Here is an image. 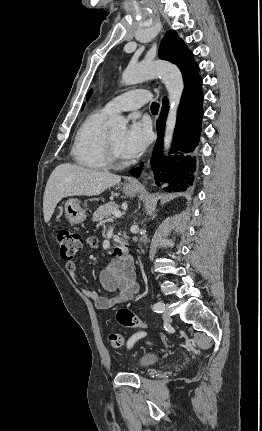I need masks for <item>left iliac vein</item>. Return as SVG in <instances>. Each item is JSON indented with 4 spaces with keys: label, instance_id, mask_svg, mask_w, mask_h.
<instances>
[{
    "label": "left iliac vein",
    "instance_id": "4c4485c4",
    "mask_svg": "<svg viewBox=\"0 0 262 431\" xmlns=\"http://www.w3.org/2000/svg\"><path fill=\"white\" fill-rule=\"evenodd\" d=\"M163 320L167 324L171 323V321H172L171 317H170V309L168 307L164 308Z\"/></svg>",
    "mask_w": 262,
    "mask_h": 431
}]
</instances>
